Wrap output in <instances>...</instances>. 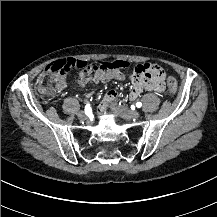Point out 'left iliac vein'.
I'll list each match as a JSON object with an SVG mask.
<instances>
[{
	"label": "left iliac vein",
	"instance_id": "1",
	"mask_svg": "<svg viewBox=\"0 0 217 217\" xmlns=\"http://www.w3.org/2000/svg\"><path fill=\"white\" fill-rule=\"evenodd\" d=\"M110 107L114 112L120 113L125 120L137 119L140 117V113L138 111L130 110L124 106L119 107L116 103H112Z\"/></svg>",
	"mask_w": 217,
	"mask_h": 217
}]
</instances>
